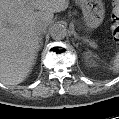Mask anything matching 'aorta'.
I'll return each instance as SVG.
<instances>
[{
  "label": "aorta",
  "mask_w": 119,
  "mask_h": 119,
  "mask_svg": "<svg viewBox=\"0 0 119 119\" xmlns=\"http://www.w3.org/2000/svg\"><path fill=\"white\" fill-rule=\"evenodd\" d=\"M50 35L54 40H62L67 35V30L62 24H54L50 29Z\"/></svg>",
  "instance_id": "1"
}]
</instances>
